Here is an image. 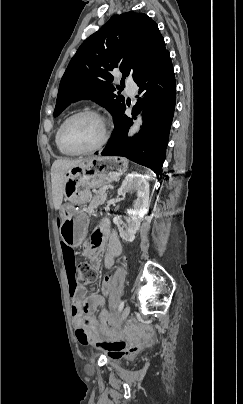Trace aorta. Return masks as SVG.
<instances>
[{"label": "aorta", "instance_id": "obj_1", "mask_svg": "<svg viewBox=\"0 0 243 404\" xmlns=\"http://www.w3.org/2000/svg\"><path fill=\"white\" fill-rule=\"evenodd\" d=\"M141 124H142V118L141 116H137V120H135L133 126H131L128 132V136H134V134H137V132H139L140 130Z\"/></svg>", "mask_w": 243, "mask_h": 404}]
</instances>
